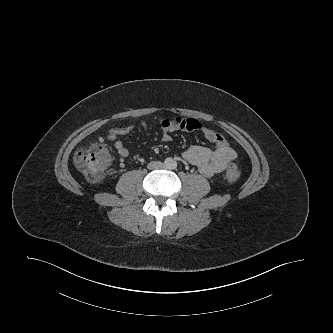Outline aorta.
Segmentation results:
<instances>
[{
  "instance_id": "aorta-1",
  "label": "aorta",
  "mask_w": 333,
  "mask_h": 333,
  "mask_svg": "<svg viewBox=\"0 0 333 333\" xmlns=\"http://www.w3.org/2000/svg\"><path fill=\"white\" fill-rule=\"evenodd\" d=\"M165 165L168 169H175L177 166L176 161L171 158L166 159Z\"/></svg>"
}]
</instances>
